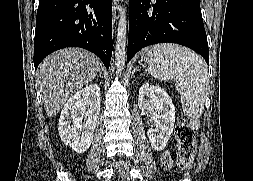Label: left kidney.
<instances>
[{
  "label": "left kidney",
  "mask_w": 253,
  "mask_h": 181,
  "mask_svg": "<svg viewBox=\"0 0 253 181\" xmlns=\"http://www.w3.org/2000/svg\"><path fill=\"white\" fill-rule=\"evenodd\" d=\"M138 106L149 110L153 125L147 130L153 149L163 150L174 129L175 106L168 93L160 86L143 84L139 89Z\"/></svg>",
  "instance_id": "5707ae66"
}]
</instances>
